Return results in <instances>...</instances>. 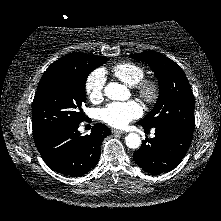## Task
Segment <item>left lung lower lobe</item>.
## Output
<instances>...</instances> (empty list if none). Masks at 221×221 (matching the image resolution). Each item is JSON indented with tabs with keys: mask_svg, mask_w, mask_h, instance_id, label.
<instances>
[{
	"mask_svg": "<svg viewBox=\"0 0 221 221\" xmlns=\"http://www.w3.org/2000/svg\"><path fill=\"white\" fill-rule=\"evenodd\" d=\"M146 130L149 127L143 126ZM155 137L143 141L133 158L138 166L151 174L173 170L186 155L193 132L174 127L156 126Z\"/></svg>",
	"mask_w": 221,
	"mask_h": 221,
	"instance_id": "1",
	"label": "left lung lower lobe"
}]
</instances>
